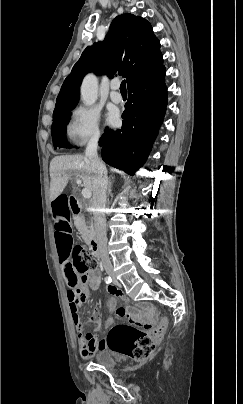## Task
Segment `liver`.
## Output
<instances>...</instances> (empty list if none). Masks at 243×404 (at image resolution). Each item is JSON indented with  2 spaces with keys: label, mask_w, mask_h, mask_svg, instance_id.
<instances>
[{
  "label": "liver",
  "mask_w": 243,
  "mask_h": 404,
  "mask_svg": "<svg viewBox=\"0 0 243 404\" xmlns=\"http://www.w3.org/2000/svg\"><path fill=\"white\" fill-rule=\"evenodd\" d=\"M70 176L82 178L84 188L93 192L90 160L85 156H55L50 162V200H56L68 184Z\"/></svg>",
  "instance_id": "obj_1"
}]
</instances>
